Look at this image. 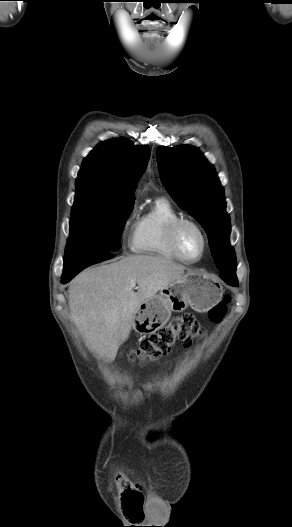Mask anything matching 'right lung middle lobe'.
<instances>
[{
    "mask_svg": "<svg viewBox=\"0 0 292 527\" xmlns=\"http://www.w3.org/2000/svg\"><path fill=\"white\" fill-rule=\"evenodd\" d=\"M133 203V200H109L94 191H76L65 257L119 250L123 226Z\"/></svg>",
    "mask_w": 292,
    "mask_h": 527,
    "instance_id": "dd1d6c3e",
    "label": "right lung middle lobe"
}]
</instances>
